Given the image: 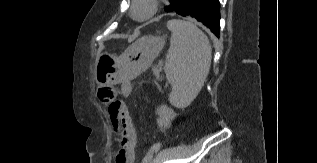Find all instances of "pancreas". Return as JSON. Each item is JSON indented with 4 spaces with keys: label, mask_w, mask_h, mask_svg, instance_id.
I'll return each mask as SVG.
<instances>
[{
    "label": "pancreas",
    "mask_w": 317,
    "mask_h": 163,
    "mask_svg": "<svg viewBox=\"0 0 317 163\" xmlns=\"http://www.w3.org/2000/svg\"><path fill=\"white\" fill-rule=\"evenodd\" d=\"M160 71H161V69H159V68H157V67H154V68H153V72H154V74H155L157 80H160V79H161V77H160Z\"/></svg>",
    "instance_id": "cf45deb5"
}]
</instances>
